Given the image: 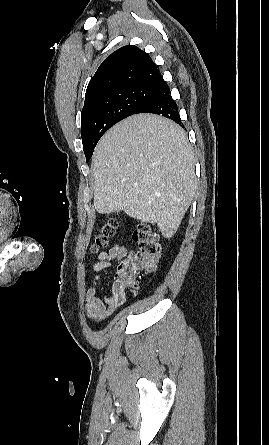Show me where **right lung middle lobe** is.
<instances>
[{"label":"right lung middle lobe","mask_w":269,"mask_h":445,"mask_svg":"<svg viewBox=\"0 0 269 445\" xmlns=\"http://www.w3.org/2000/svg\"><path fill=\"white\" fill-rule=\"evenodd\" d=\"M156 94V88L152 86L125 87L111 90L84 105L81 137L86 161H89L97 142L111 126L135 114Z\"/></svg>","instance_id":"right-lung-middle-lobe-1"}]
</instances>
